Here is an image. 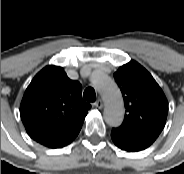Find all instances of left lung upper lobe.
I'll return each mask as SVG.
<instances>
[{
  "instance_id": "5c2ea615",
  "label": "left lung upper lobe",
  "mask_w": 184,
  "mask_h": 174,
  "mask_svg": "<svg viewBox=\"0 0 184 174\" xmlns=\"http://www.w3.org/2000/svg\"><path fill=\"white\" fill-rule=\"evenodd\" d=\"M121 89L126 114L120 127L157 138L168 113L167 99L151 74L135 61L119 67L114 73Z\"/></svg>"
}]
</instances>
